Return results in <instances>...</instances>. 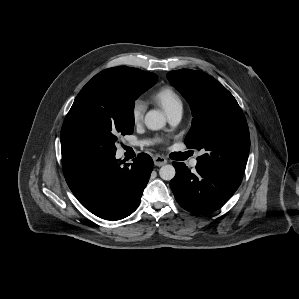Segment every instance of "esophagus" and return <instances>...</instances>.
Listing matches in <instances>:
<instances>
[{
    "label": "esophagus",
    "mask_w": 299,
    "mask_h": 299,
    "mask_svg": "<svg viewBox=\"0 0 299 299\" xmlns=\"http://www.w3.org/2000/svg\"><path fill=\"white\" fill-rule=\"evenodd\" d=\"M153 161L156 166H163L167 163V160L162 156H155Z\"/></svg>",
    "instance_id": "obj_1"
}]
</instances>
